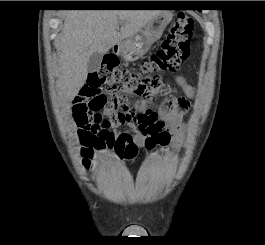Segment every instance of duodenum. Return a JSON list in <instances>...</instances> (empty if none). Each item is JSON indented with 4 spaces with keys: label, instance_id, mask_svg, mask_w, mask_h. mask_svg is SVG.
<instances>
[{
    "label": "duodenum",
    "instance_id": "duodenum-1",
    "mask_svg": "<svg viewBox=\"0 0 265 245\" xmlns=\"http://www.w3.org/2000/svg\"><path fill=\"white\" fill-rule=\"evenodd\" d=\"M115 51H117V52L119 51L118 47H115Z\"/></svg>",
    "mask_w": 265,
    "mask_h": 245
}]
</instances>
